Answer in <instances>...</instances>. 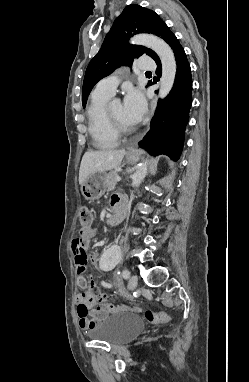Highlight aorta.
Wrapping results in <instances>:
<instances>
[{"mask_svg":"<svg viewBox=\"0 0 249 382\" xmlns=\"http://www.w3.org/2000/svg\"><path fill=\"white\" fill-rule=\"evenodd\" d=\"M131 42L141 44L152 49L160 58L162 64V76L160 79L158 96L161 99L165 98L174 85L177 71L173 50L164 40L151 34L136 35L131 39ZM147 172V162L140 164L132 176V186H139L146 177Z\"/></svg>","mask_w":249,"mask_h":382,"instance_id":"1","label":"aorta"}]
</instances>
